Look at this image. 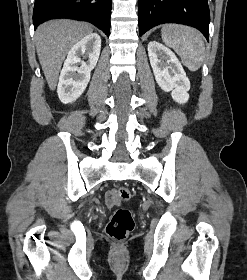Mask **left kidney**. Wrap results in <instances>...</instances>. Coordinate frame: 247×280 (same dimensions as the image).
Here are the masks:
<instances>
[{
	"label": "left kidney",
	"instance_id": "1",
	"mask_svg": "<svg viewBox=\"0 0 247 280\" xmlns=\"http://www.w3.org/2000/svg\"><path fill=\"white\" fill-rule=\"evenodd\" d=\"M148 55L159 87L170 92L174 101L185 104L189 99L190 81L176 55L159 42L148 44Z\"/></svg>",
	"mask_w": 247,
	"mask_h": 280
}]
</instances>
